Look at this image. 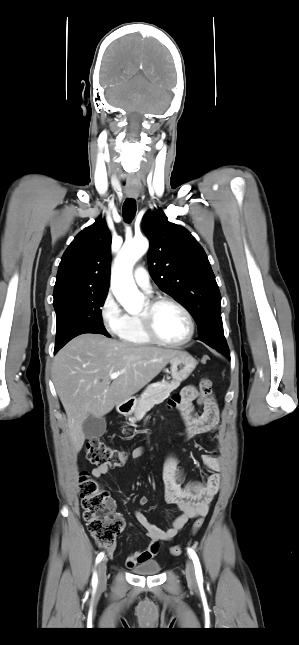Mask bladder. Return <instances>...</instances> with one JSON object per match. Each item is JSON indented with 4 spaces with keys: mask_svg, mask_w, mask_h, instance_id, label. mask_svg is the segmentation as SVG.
Instances as JSON below:
<instances>
[{
    "mask_svg": "<svg viewBox=\"0 0 299 645\" xmlns=\"http://www.w3.org/2000/svg\"><path fill=\"white\" fill-rule=\"evenodd\" d=\"M160 570H161V566L155 560L140 563L132 568V571L134 573L140 574V575H153V574L159 573Z\"/></svg>",
    "mask_w": 299,
    "mask_h": 645,
    "instance_id": "bladder-1",
    "label": "bladder"
}]
</instances>
